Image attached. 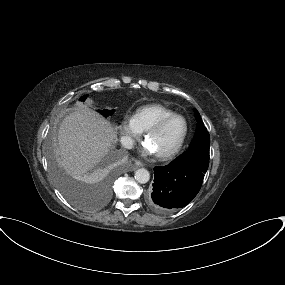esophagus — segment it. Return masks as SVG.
<instances>
[{
  "instance_id": "esophagus-1",
  "label": "esophagus",
  "mask_w": 285,
  "mask_h": 285,
  "mask_svg": "<svg viewBox=\"0 0 285 285\" xmlns=\"http://www.w3.org/2000/svg\"><path fill=\"white\" fill-rule=\"evenodd\" d=\"M144 164L140 161H135V165H132L130 168H129V171H134L135 169H137L138 167H143Z\"/></svg>"
}]
</instances>
